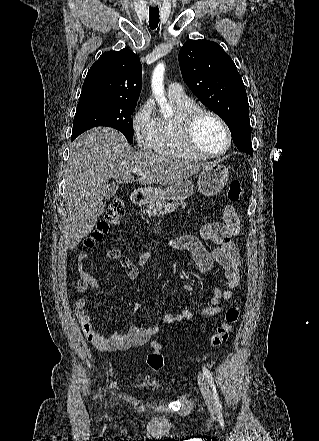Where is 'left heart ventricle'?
I'll return each instance as SVG.
<instances>
[{"label": "left heart ventricle", "mask_w": 319, "mask_h": 441, "mask_svg": "<svg viewBox=\"0 0 319 441\" xmlns=\"http://www.w3.org/2000/svg\"><path fill=\"white\" fill-rule=\"evenodd\" d=\"M195 141L204 151L218 152L226 145V134L215 119L204 116L196 127Z\"/></svg>", "instance_id": "1"}]
</instances>
